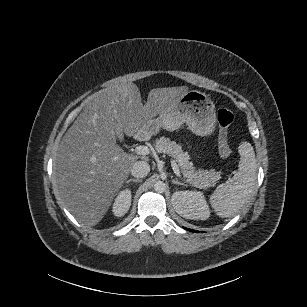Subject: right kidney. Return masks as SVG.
Wrapping results in <instances>:
<instances>
[{"mask_svg": "<svg viewBox=\"0 0 307 307\" xmlns=\"http://www.w3.org/2000/svg\"><path fill=\"white\" fill-rule=\"evenodd\" d=\"M131 190L125 189L119 193L113 204L112 212L116 217H121L127 213L131 206Z\"/></svg>", "mask_w": 307, "mask_h": 307, "instance_id": "ca27d5eb", "label": "right kidney"}]
</instances>
